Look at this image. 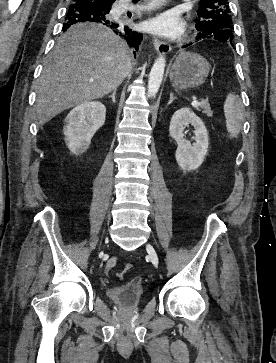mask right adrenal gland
Masks as SVG:
<instances>
[{"label": "right adrenal gland", "instance_id": "obj_1", "mask_svg": "<svg viewBox=\"0 0 276 363\" xmlns=\"http://www.w3.org/2000/svg\"><path fill=\"white\" fill-rule=\"evenodd\" d=\"M116 92H117V89H115V90L113 91V93L109 96V97H111V98H112L113 103H115V102H116V99H115Z\"/></svg>", "mask_w": 276, "mask_h": 363}]
</instances>
